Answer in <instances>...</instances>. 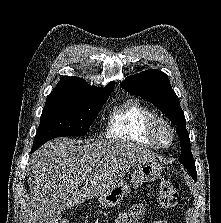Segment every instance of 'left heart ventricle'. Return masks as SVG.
<instances>
[{
  "label": "left heart ventricle",
  "mask_w": 221,
  "mask_h": 223,
  "mask_svg": "<svg viewBox=\"0 0 221 223\" xmlns=\"http://www.w3.org/2000/svg\"><path fill=\"white\" fill-rule=\"evenodd\" d=\"M158 135L163 142H168L170 139L168 131L164 128H160Z\"/></svg>",
  "instance_id": "left-heart-ventricle-1"
}]
</instances>
